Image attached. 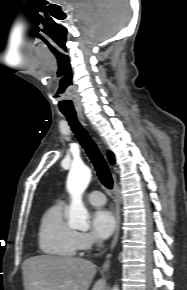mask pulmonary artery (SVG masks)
I'll return each instance as SVG.
<instances>
[{
	"label": "pulmonary artery",
	"instance_id": "1",
	"mask_svg": "<svg viewBox=\"0 0 187 290\" xmlns=\"http://www.w3.org/2000/svg\"><path fill=\"white\" fill-rule=\"evenodd\" d=\"M88 201L96 206H101L105 203V196L100 191H93L88 195Z\"/></svg>",
	"mask_w": 187,
	"mask_h": 290
}]
</instances>
